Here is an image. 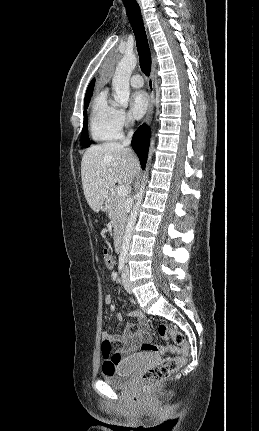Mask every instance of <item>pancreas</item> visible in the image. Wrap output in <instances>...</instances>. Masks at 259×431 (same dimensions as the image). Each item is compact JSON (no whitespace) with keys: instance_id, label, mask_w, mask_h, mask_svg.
Masks as SVG:
<instances>
[{"instance_id":"1","label":"pancreas","mask_w":259,"mask_h":431,"mask_svg":"<svg viewBox=\"0 0 259 431\" xmlns=\"http://www.w3.org/2000/svg\"><path fill=\"white\" fill-rule=\"evenodd\" d=\"M127 199L120 197L116 191H113L108 198V216L114 228V235L119 234L126 222L127 217Z\"/></svg>"}]
</instances>
